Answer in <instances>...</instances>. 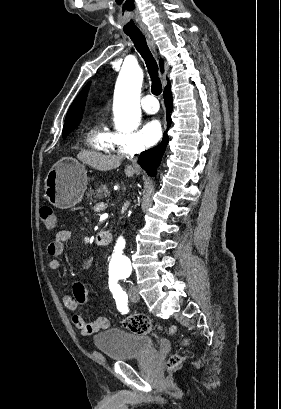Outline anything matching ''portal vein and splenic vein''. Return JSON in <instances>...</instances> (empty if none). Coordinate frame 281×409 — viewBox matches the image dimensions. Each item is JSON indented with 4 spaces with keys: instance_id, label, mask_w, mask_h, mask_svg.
Instances as JSON below:
<instances>
[{
    "instance_id": "obj_1",
    "label": "portal vein and splenic vein",
    "mask_w": 281,
    "mask_h": 409,
    "mask_svg": "<svg viewBox=\"0 0 281 409\" xmlns=\"http://www.w3.org/2000/svg\"><path fill=\"white\" fill-rule=\"evenodd\" d=\"M105 202L104 201H100L99 203L95 204V207L92 208L93 212H96L98 210H100L101 212L105 211Z\"/></svg>"
}]
</instances>
